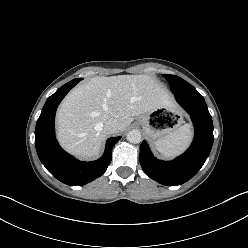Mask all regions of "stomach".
Instances as JSON below:
<instances>
[{
  "label": "stomach",
  "instance_id": "1",
  "mask_svg": "<svg viewBox=\"0 0 248 248\" xmlns=\"http://www.w3.org/2000/svg\"><path fill=\"white\" fill-rule=\"evenodd\" d=\"M179 114L169 107H160L138 117L137 123L142 126L144 134L152 141L160 139L178 128L181 119ZM177 120V124H173ZM172 125V126H171Z\"/></svg>",
  "mask_w": 248,
  "mask_h": 248
}]
</instances>
